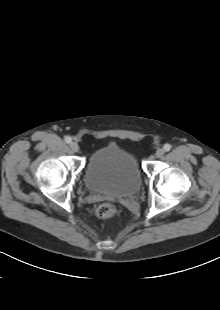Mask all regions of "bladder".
<instances>
[{"label":"bladder","mask_w":220,"mask_h":310,"mask_svg":"<svg viewBox=\"0 0 220 310\" xmlns=\"http://www.w3.org/2000/svg\"><path fill=\"white\" fill-rule=\"evenodd\" d=\"M84 183L92 193L124 198L139 191L141 174L133 154L117 145H106L90 155Z\"/></svg>","instance_id":"1"}]
</instances>
